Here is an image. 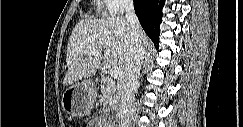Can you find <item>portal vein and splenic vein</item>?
Here are the masks:
<instances>
[{
	"label": "portal vein and splenic vein",
	"mask_w": 243,
	"mask_h": 127,
	"mask_svg": "<svg viewBox=\"0 0 243 127\" xmlns=\"http://www.w3.org/2000/svg\"><path fill=\"white\" fill-rule=\"evenodd\" d=\"M86 55H92V56H97V57H101V52L99 50L96 49H91L88 51H85ZM122 75L121 70L118 67H113L110 69V76L112 78H119Z\"/></svg>",
	"instance_id": "18ae733b"
}]
</instances>
